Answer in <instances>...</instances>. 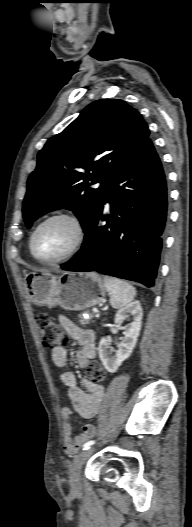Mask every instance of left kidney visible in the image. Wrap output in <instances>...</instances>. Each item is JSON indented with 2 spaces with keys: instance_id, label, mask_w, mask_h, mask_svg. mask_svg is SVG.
I'll list each match as a JSON object with an SVG mask.
<instances>
[{
  "instance_id": "left-kidney-1",
  "label": "left kidney",
  "mask_w": 192,
  "mask_h": 527,
  "mask_svg": "<svg viewBox=\"0 0 192 527\" xmlns=\"http://www.w3.org/2000/svg\"><path fill=\"white\" fill-rule=\"evenodd\" d=\"M128 316H132V322L124 331V339L120 343L118 350L115 351L105 337H103L99 343V358L105 369L110 373L116 372L123 361L130 357L137 343L143 316L142 307L139 301L132 302L126 307L120 309L115 315V324L119 325L123 319ZM112 352H115L113 356H111Z\"/></svg>"
}]
</instances>
